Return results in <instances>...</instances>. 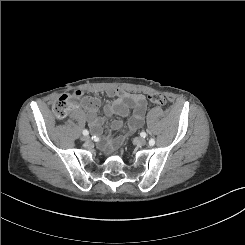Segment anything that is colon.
Wrapping results in <instances>:
<instances>
[{
	"instance_id": "obj_1",
	"label": "colon",
	"mask_w": 245,
	"mask_h": 245,
	"mask_svg": "<svg viewBox=\"0 0 245 245\" xmlns=\"http://www.w3.org/2000/svg\"><path fill=\"white\" fill-rule=\"evenodd\" d=\"M81 96L77 93L74 95H62L53 104V112L58 119H63L67 116L70 110L76 106ZM150 102L156 105H165L166 98L159 93H152L148 96ZM83 101V100H82Z\"/></svg>"
}]
</instances>
